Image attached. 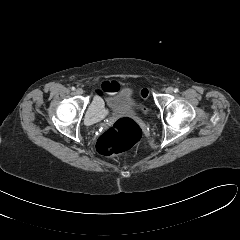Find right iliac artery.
I'll return each instance as SVG.
<instances>
[{
	"mask_svg": "<svg viewBox=\"0 0 240 240\" xmlns=\"http://www.w3.org/2000/svg\"><path fill=\"white\" fill-rule=\"evenodd\" d=\"M71 89L74 91V90H75V87H72Z\"/></svg>",
	"mask_w": 240,
	"mask_h": 240,
	"instance_id": "right-iliac-artery-1",
	"label": "right iliac artery"
}]
</instances>
